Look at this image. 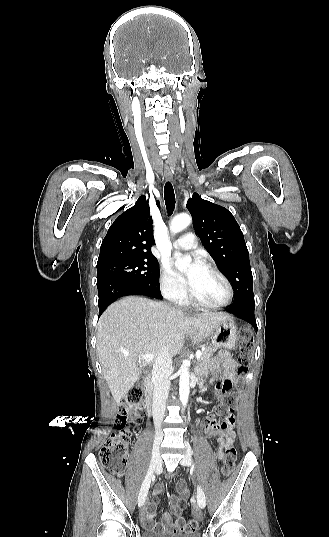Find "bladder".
I'll list each match as a JSON object with an SVG mask.
<instances>
[{"mask_svg": "<svg viewBox=\"0 0 329 537\" xmlns=\"http://www.w3.org/2000/svg\"><path fill=\"white\" fill-rule=\"evenodd\" d=\"M142 537H200L198 532H190L186 534H167V533H156L153 531L145 530L142 532Z\"/></svg>", "mask_w": 329, "mask_h": 537, "instance_id": "1", "label": "bladder"}]
</instances>
